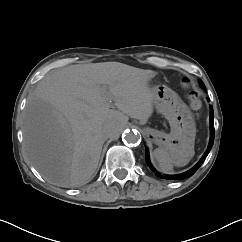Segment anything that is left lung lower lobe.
Segmentation results:
<instances>
[{
	"label": "left lung lower lobe",
	"instance_id": "left-lung-lower-lobe-1",
	"mask_svg": "<svg viewBox=\"0 0 242 242\" xmlns=\"http://www.w3.org/2000/svg\"><path fill=\"white\" fill-rule=\"evenodd\" d=\"M214 113H213V107H210V128H211V137H210V143L209 146L206 150V152L204 153V155L202 156V158L200 159V161L189 171L184 172L182 174H178V175H162L160 172H157L155 170V168L151 165L150 160H149V154H148V150L146 148V163L149 166V168L151 169L152 172H155V175L159 178H166V179H171V180H182L185 178L190 177L191 175H193L195 173V171L202 165V163L204 162V160L206 159L207 155L209 154L213 143H214Z\"/></svg>",
	"mask_w": 242,
	"mask_h": 242
}]
</instances>
